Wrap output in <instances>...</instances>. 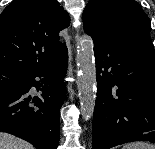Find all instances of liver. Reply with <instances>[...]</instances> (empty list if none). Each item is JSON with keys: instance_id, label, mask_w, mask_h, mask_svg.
Returning <instances> with one entry per match:
<instances>
[{"instance_id": "1", "label": "liver", "mask_w": 155, "mask_h": 149, "mask_svg": "<svg viewBox=\"0 0 155 149\" xmlns=\"http://www.w3.org/2000/svg\"><path fill=\"white\" fill-rule=\"evenodd\" d=\"M0 149H33V146L13 135L0 132Z\"/></svg>"}]
</instances>
